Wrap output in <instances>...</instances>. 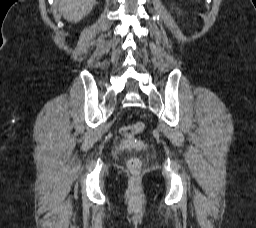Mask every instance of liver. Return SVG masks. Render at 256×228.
Instances as JSON below:
<instances>
[{"label":"liver","mask_w":256,"mask_h":228,"mask_svg":"<svg viewBox=\"0 0 256 228\" xmlns=\"http://www.w3.org/2000/svg\"><path fill=\"white\" fill-rule=\"evenodd\" d=\"M58 2L63 17L74 23L87 16L96 4V0H59Z\"/></svg>","instance_id":"6515ba94"}]
</instances>
